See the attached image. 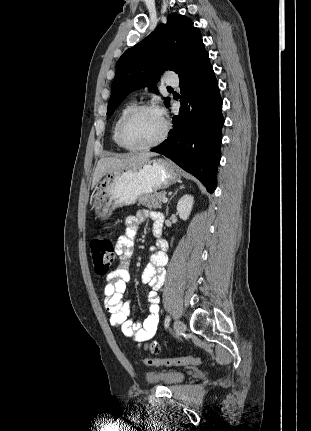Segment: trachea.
I'll list each match as a JSON object with an SVG mask.
<instances>
[{
	"mask_svg": "<svg viewBox=\"0 0 311 431\" xmlns=\"http://www.w3.org/2000/svg\"><path fill=\"white\" fill-rule=\"evenodd\" d=\"M167 89H170V90H172V87H167Z\"/></svg>",
	"mask_w": 311,
	"mask_h": 431,
	"instance_id": "3493384b",
	"label": "trachea"
}]
</instances>
